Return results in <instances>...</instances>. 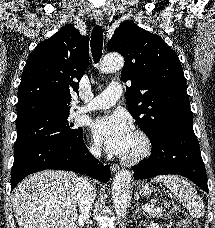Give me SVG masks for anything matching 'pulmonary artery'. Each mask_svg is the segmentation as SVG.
Listing matches in <instances>:
<instances>
[{"label":"pulmonary artery","instance_id":"e3ab8cb5","mask_svg":"<svg viewBox=\"0 0 215 228\" xmlns=\"http://www.w3.org/2000/svg\"><path fill=\"white\" fill-rule=\"evenodd\" d=\"M121 84H106V90L95 97L88 105L79 109L80 112H87L96 109H105L116 104L122 95Z\"/></svg>","mask_w":215,"mask_h":228}]
</instances>
